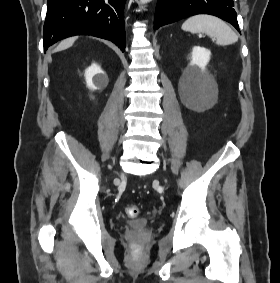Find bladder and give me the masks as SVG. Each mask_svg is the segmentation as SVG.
<instances>
[{"instance_id":"1","label":"bladder","mask_w":280,"mask_h":283,"mask_svg":"<svg viewBox=\"0 0 280 283\" xmlns=\"http://www.w3.org/2000/svg\"><path fill=\"white\" fill-rule=\"evenodd\" d=\"M150 219L140 218L127 222V226L135 231H144L150 226Z\"/></svg>"}]
</instances>
